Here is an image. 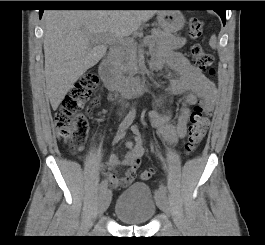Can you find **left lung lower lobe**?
Returning a JSON list of instances; mask_svg holds the SVG:
<instances>
[{"instance_id":"obj_1","label":"left lung lower lobe","mask_w":265,"mask_h":245,"mask_svg":"<svg viewBox=\"0 0 265 245\" xmlns=\"http://www.w3.org/2000/svg\"><path fill=\"white\" fill-rule=\"evenodd\" d=\"M174 1H157L155 4L159 6H168L171 5ZM218 15L221 17L223 24L226 22V10L225 9H217L215 10Z\"/></svg>"}]
</instances>
